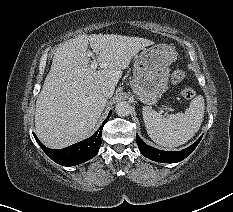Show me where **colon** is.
Instances as JSON below:
<instances>
[{
  "mask_svg": "<svg viewBox=\"0 0 233 212\" xmlns=\"http://www.w3.org/2000/svg\"><path fill=\"white\" fill-rule=\"evenodd\" d=\"M186 77V73L182 70H177L173 72L171 76V82L172 84L176 85L182 82ZM181 95L185 99H193L196 96V92L192 88H184L181 90Z\"/></svg>",
  "mask_w": 233,
  "mask_h": 212,
  "instance_id": "obj_1",
  "label": "colon"
}]
</instances>
